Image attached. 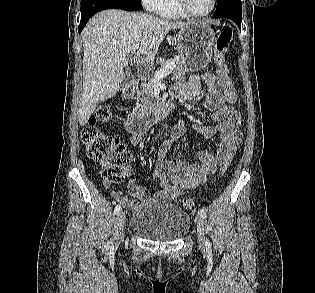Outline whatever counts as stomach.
<instances>
[{"label": "stomach", "instance_id": "0dacf381", "mask_svg": "<svg viewBox=\"0 0 315 293\" xmlns=\"http://www.w3.org/2000/svg\"><path fill=\"white\" fill-rule=\"evenodd\" d=\"M215 45V32L205 22L194 21L181 28L176 40L177 50L185 58V70L199 71L205 68L212 58Z\"/></svg>", "mask_w": 315, "mask_h": 293}]
</instances>
